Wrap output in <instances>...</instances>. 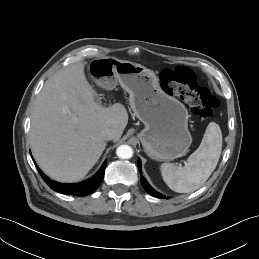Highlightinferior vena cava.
<instances>
[{"instance_id":"inferior-vena-cava-1","label":"inferior vena cava","mask_w":259,"mask_h":259,"mask_svg":"<svg viewBox=\"0 0 259 259\" xmlns=\"http://www.w3.org/2000/svg\"><path fill=\"white\" fill-rule=\"evenodd\" d=\"M102 136L106 140H113L115 138V131L112 129H105L102 131Z\"/></svg>"}]
</instances>
